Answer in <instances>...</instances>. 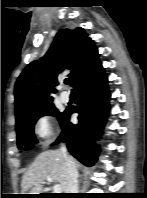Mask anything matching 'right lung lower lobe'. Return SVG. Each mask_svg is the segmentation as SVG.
Returning a JSON list of instances; mask_svg holds the SVG:
<instances>
[{
    "instance_id": "98d812e1",
    "label": "right lung lower lobe",
    "mask_w": 147,
    "mask_h": 198,
    "mask_svg": "<svg viewBox=\"0 0 147 198\" xmlns=\"http://www.w3.org/2000/svg\"><path fill=\"white\" fill-rule=\"evenodd\" d=\"M107 82L104 69L99 63L74 87L79 104L75 109H67L63 131L58 139L66 142L70 153L88 167L97 161L100 149L95 141L102 134L110 109ZM74 112L79 114L76 125L69 122Z\"/></svg>"
}]
</instances>
